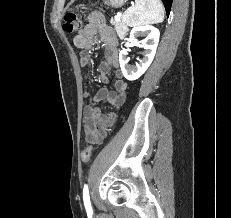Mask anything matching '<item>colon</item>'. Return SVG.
Returning a JSON list of instances; mask_svg holds the SVG:
<instances>
[{
    "mask_svg": "<svg viewBox=\"0 0 231 218\" xmlns=\"http://www.w3.org/2000/svg\"><path fill=\"white\" fill-rule=\"evenodd\" d=\"M81 26V20L75 13H68L64 17V30L69 34L75 33ZM93 153L92 145L86 146L81 152V158L84 162L90 160Z\"/></svg>",
    "mask_w": 231,
    "mask_h": 218,
    "instance_id": "obj_1",
    "label": "colon"
}]
</instances>
